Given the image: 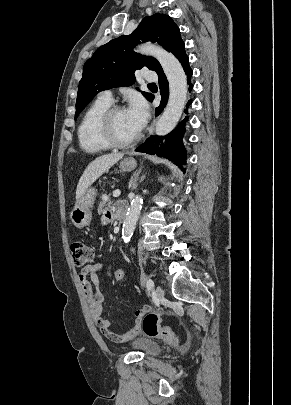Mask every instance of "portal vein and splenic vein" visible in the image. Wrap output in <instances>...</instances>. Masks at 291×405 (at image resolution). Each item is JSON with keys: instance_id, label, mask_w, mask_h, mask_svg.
I'll return each mask as SVG.
<instances>
[{"instance_id": "obj_1", "label": "portal vein and splenic vein", "mask_w": 291, "mask_h": 405, "mask_svg": "<svg viewBox=\"0 0 291 405\" xmlns=\"http://www.w3.org/2000/svg\"><path fill=\"white\" fill-rule=\"evenodd\" d=\"M120 194H121V191H120V190H115V191H113V197H119Z\"/></svg>"}]
</instances>
